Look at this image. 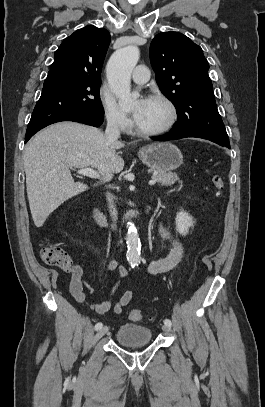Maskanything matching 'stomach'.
<instances>
[{
    "mask_svg": "<svg viewBox=\"0 0 265 407\" xmlns=\"http://www.w3.org/2000/svg\"><path fill=\"white\" fill-rule=\"evenodd\" d=\"M142 162L156 171H172L183 163L181 151L170 142H158L139 150Z\"/></svg>",
    "mask_w": 265,
    "mask_h": 407,
    "instance_id": "stomach-1",
    "label": "stomach"
}]
</instances>
